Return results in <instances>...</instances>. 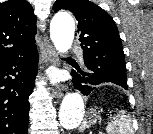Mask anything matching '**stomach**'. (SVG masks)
<instances>
[{"instance_id": "stomach-1", "label": "stomach", "mask_w": 153, "mask_h": 134, "mask_svg": "<svg viewBox=\"0 0 153 134\" xmlns=\"http://www.w3.org/2000/svg\"><path fill=\"white\" fill-rule=\"evenodd\" d=\"M102 111L101 110H98V109H90L89 113H88V123L91 125V124H94L98 118L100 117V113Z\"/></svg>"}]
</instances>
